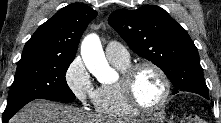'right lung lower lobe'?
<instances>
[{"instance_id": "98d812e1", "label": "right lung lower lobe", "mask_w": 221, "mask_h": 123, "mask_svg": "<svg viewBox=\"0 0 221 123\" xmlns=\"http://www.w3.org/2000/svg\"><path fill=\"white\" fill-rule=\"evenodd\" d=\"M11 117H12V116H6V117H5V116L3 115V119H4L5 121L9 120Z\"/></svg>"}]
</instances>
